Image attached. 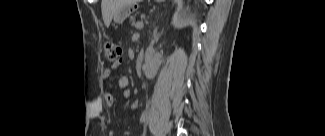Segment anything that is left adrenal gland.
I'll return each instance as SVG.
<instances>
[{
  "mask_svg": "<svg viewBox=\"0 0 325 136\" xmlns=\"http://www.w3.org/2000/svg\"><path fill=\"white\" fill-rule=\"evenodd\" d=\"M162 33H158V28L154 29L153 42L157 43Z\"/></svg>",
  "mask_w": 325,
  "mask_h": 136,
  "instance_id": "a2214340",
  "label": "left adrenal gland"
}]
</instances>
